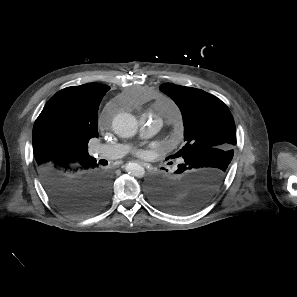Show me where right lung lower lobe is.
Segmentation results:
<instances>
[{"label":"right lung lower lobe","mask_w":297,"mask_h":297,"mask_svg":"<svg viewBox=\"0 0 297 297\" xmlns=\"http://www.w3.org/2000/svg\"><path fill=\"white\" fill-rule=\"evenodd\" d=\"M38 173L49 197L68 214H93L108 201L109 177L91 156L56 160L39 167Z\"/></svg>","instance_id":"obj_1"}]
</instances>
